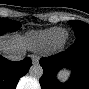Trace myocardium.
Instances as JSON below:
<instances>
[{"mask_svg": "<svg viewBox=\"0 0 89 89\" xmlns=\"http://www.w3.org/2000/svg\"><path fill=\"white\" fill-rule=\"evenodd\" d=\"M67 40H68V34L65 32L63 36L55 43L53 48L55 49L62 48L66 44Z\"/></svg>", "mask_w": 89, "mask_h": 89, "instance_id": "1", "label": "myocardium"}]
</instances>
